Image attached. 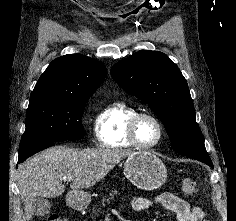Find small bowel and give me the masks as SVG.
I'll use <instances>...</instances> for the list:
<instances>
[{
	"label": "small bowel",
	"mask_w": 236,
	"mask_h": 221,
	"mask_svg": "<svg viewBox=\"0 0 236 221\" xmlns=\"http://www.w3.org/2000/svg\"><path fill=\"white\" fill-rule=\"evenodd\" d=\"M153 203L174 212L177 221H207L204 218V211L199 206L191 207L186 200L172 193H162L154 201L145 197H135L131 202V207L135 212H141Z\"/></svg>",
	"instance_id": "obj_1"
}]
</instances>
